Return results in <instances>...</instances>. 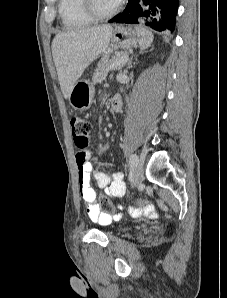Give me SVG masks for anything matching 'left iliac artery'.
Segmentation results:
<instances>
[{"label":"left iliac artery","mask_w":227,"mask_h":298,"mask_svg":"<svg viewBox=\"0 0 227 298\" xmlns=\"http://www.w3.org/2000/svg\"><path fill=\"white\" fill-rule=\"evenodd\" d=\"M138 156L136 154H132L129 158V164L131 168H134L138 164Z\"/></svg>","instance_id":"obj_1"}]
</instances>
